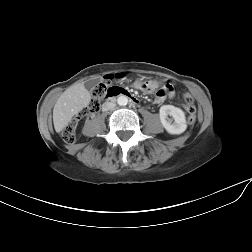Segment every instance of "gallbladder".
<instances>
[{
	"label": "gallbladder",
	"mask_w": 252,
	"mask_h": 252,
	"mask_svg": "<svg viewBox=\"0 0 252 252\" xmlns=\"http://www.w3.org/2000/svg\"><path fill=\"white\" fill-rule=\"evenodd\" d=\"M96 81H89V82H86L85 83V88L87 89V90H92L95 86H96Z\"/></svg>",
	"instance_id": "1"
}]
</instances>
